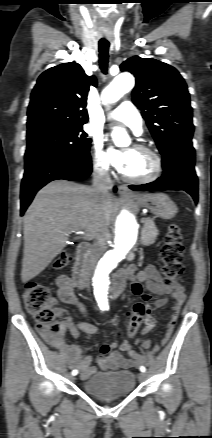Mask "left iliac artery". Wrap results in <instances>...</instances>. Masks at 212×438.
I'll return each instance as SVG.
<instances>
[{
    "mask_svg": "<svg viewBox=\"0 0 212 438\" xmlns=\"http://www.w3.org/2000/svg\"><path fill=\"white\" fill-rule=\"evenodd\" d=\"M106 310H108V308H107ZM140 371H141V372H145V371H146V368H145L144 366H141V367H140Z\"/></svg>",
    "mask_w": 212,
    "mask_h": 438,
    "instance_id": "obj_1",
    "label": "left iliac artery"
}]
</instances>
